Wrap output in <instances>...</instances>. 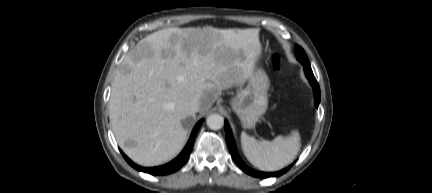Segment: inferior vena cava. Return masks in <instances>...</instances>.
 <instances>
[{"instance_id":"obj_1","label":"inferior vena cava","mask_w":432,"mask_h":193,"mask_svg":"<svg viewBox=\"0 0 432 193\" xmlns=\"http://www.w3.org/2000/svg\"><path fill=\"white\" fill-rule=\"evenodd\" d=\"M191 110L193 112H198L200 109V101L197 98H194L190 103Z\"/></svg>"}]
</instances>
